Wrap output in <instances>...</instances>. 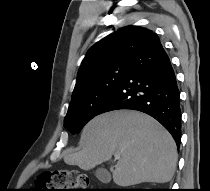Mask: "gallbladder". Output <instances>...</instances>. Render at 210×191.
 <instances>
[{
    "label": "gallbladder",
    "instance_id": "1",
    "mask_svg": "<svg viewBox=\"0 0 210 191\" xmlns=\"http://www.w3.org/2000/svg\"><path fill=\"white\" fill-rule=\"evenodd\" d=\"M106 173H107L106 170H104V169H98L97 172H96V176H97L99 179H101L102 175H103V174H106Z\"/></svg>",
    "mask_w": 210,
    "mask_h": 191
}]
</instances>
